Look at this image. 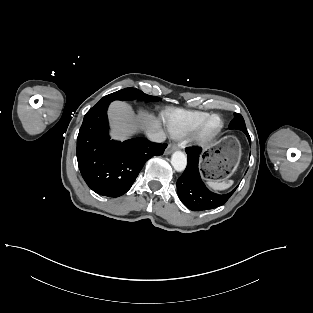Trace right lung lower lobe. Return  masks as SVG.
<instances>
[{"instance_id": "1", "label": "right lung lower lobe", "mask_w": 313, "mask_h": 313, "mask_svg": "<svg viewBox=\"0 0 313 313\" xmlns=\"http://www.w3.org/2000/svg\"><path fill=\"white\" fill-rule=\"evenodd\" d=\"M111 102H98L85 115L77 138V161L87 185L96 193L119 197L136 180L144 163L162 155L167 144L133 138L123 143L108 134L107 108Z\"/></svg>"}]
</instances>
